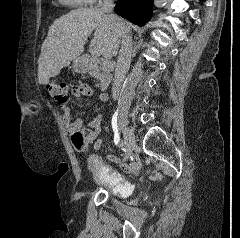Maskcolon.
Listing matches in <instances>:
<instances>
[{
	"instance_id": "obj_1",
	"label": "colon",
	"mask_w": 240,
	"mask_h": 238,
	"mask_svg": "<svg viewBox=\"0 0 240 238\" xmlns=\"http://www.w3.org/2000/svg\"><path fill=\"white\" fill-rule=\"evenodd\" d=\"M47 93L57 102L63 103L66 100L68 88L65 84L55 82L46 85ZM73 144L77 147H84L86 141V133L81 131H74L72 134Z\"/></svg>"
}]
</instances>
